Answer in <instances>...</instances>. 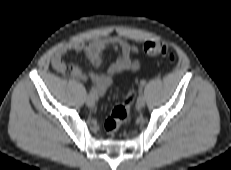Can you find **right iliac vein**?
Returning a JSON list of instances; mask_svg holds the SVG:
<instances>
[{
	"label": "right iliac vein",
	"mask_w": 231,
	"mask_h": 170,
	"mask_svg": "<svg viewBox=\"0 0 231 170\" xmlns=\"http://www.w3.org/2000/svg\"><path fill=\"white\" fill-rule=\"evenodd\" d=\"M86 104L88 107H94L95 106V99L91 97L90 95L86 97Z\"/></svg>",
	"instance_id": "right-iliac-vein-1"
}]
</instances>
